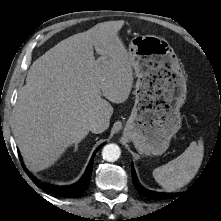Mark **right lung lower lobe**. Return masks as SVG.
Segmentation results:
<instances>
[{
    "instance_id": "obj_1",
    "label": "right lung lower lobe",
    "mask_w": 221,
    "mask_h": 221,
    "mask_svg": "<svg viewBox=\"0 0 221 221\" xmlns=\"http://www.w3.org/2000/svg\"><path fill=\"white\" fill-rule=\"evenodd\" d=\"M100 147H98V149ZM97 150L93 153L92 158H91V160L87 166V169H86L85 173L83 174L82 178L78 182H76L75 184L69 185V186H54V185L42 183V182L38 181L30 172H28V170L25 168L23 163H22V166H23L24 170L26 171V173L29 175V177L32 179V181L39 188L43 189L44 191H46L50 194H55L60 197L72 198V197H76V196L80 195L87 188L89 181H90L92 169H93V158H94ZM19 158L22 161L20 155H19Z\"/></svg>"
}]
</instances>
